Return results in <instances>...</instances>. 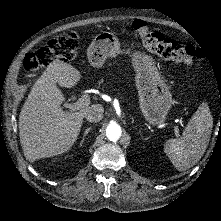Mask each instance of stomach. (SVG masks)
<instances>
[{
    "label": "stomach",
    "mask_w": 221,
    "mask_h": 221,
    "mask_svg": "<svg viewBox=\"0 0 221 221\" xmlns=\"http://www.w3.org/2000/svg\"><path fill=\"white\" fill-rule=\"evenodd\" d=\"M119 52L117 37L112 33L103 32L94 37L87 48L86 55L90 66L98 69L106 58L114 57ZM134 66L142 111L150 122H160L172 104L169 89L147 56L136 55Z\"/></svg>",
    "instance_id": "0dacf381"
}]
</instances>
